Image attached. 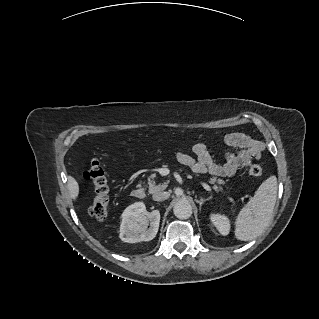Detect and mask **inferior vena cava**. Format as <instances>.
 <instances>
[{
  "mask_svg": "<svg viewBox=\"0 0 319 319\" xmlns=\"http://www.w3.org/2000/svg\"><path fill=\"white\" fill-rule=\"evenodd\" d=\"M169 196H170V194H169L168 192H161V191H159V192L154 193L153 196H152V198H153V200H155V201H163V200L168 199Z\"/></svg>",
  "mask_w": 319,
  "mask_h": 319,
  "instance_id": "1",
  "label": "inferior vena cava"
}]
</instances>
